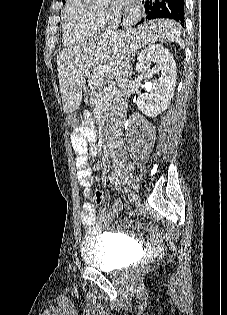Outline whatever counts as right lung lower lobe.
Returning a JSON list of instances; mask_svg holds the SVG:
<instances>
[{"instance_id": "obj_1", "label": "right lung lower lobe", "mask_w": 227, "mask_h": 315, "mask_svg": "<svg viewBox=\"0 0 227 315\" xmlns=\"http://www.w3.org/2000/svg\"><path fill=\"white\" fill-rule=\"evenodd\" d=\"M145 15L138 23L156 18H170L180 23L184 22V0H146Z\"/></svg>"}]
</instances>
